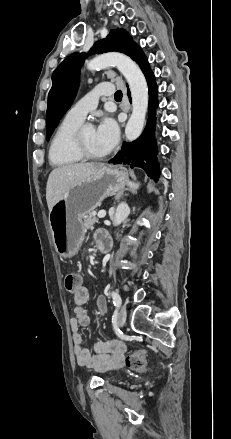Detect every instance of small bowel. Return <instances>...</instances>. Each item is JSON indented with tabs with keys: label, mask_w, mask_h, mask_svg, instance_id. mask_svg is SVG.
Segmentation results:
<instances>
[{
	"label": "small bowel",
	"mask_w": 231,
	"mask_h": 439,
	"mask_svg": "<svg viewBox=\"0 0 231 439\" xmlns=\"http://www.w3.org/2000/svg\"><path fill=\"white\" fill-rule=\"evenodd\" d=\"M103 238H109L106 232L98 231L95 234L97 244ZM90 289L91 286L89 283H80L79 286L76 287L75 295H73L75 316L70 319V328L77 363L80 366L97 371L120 367L123 363L124 352L126 350V346L123 342L118 340L96 342L94 344V354L83 345L80 328L87 327L90 323V318L84 309V305L91 297ZM95 312L100 316L107 312V302L104 296L97 297L95 301Z\"/></svg>",
	"instance_id": "obj_1"
}]
</instances>
